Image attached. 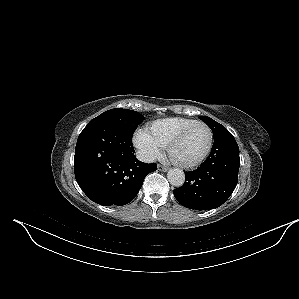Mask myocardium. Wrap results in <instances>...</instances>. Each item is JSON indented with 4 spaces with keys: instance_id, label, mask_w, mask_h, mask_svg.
<instances>
[{
    "instance_id": "myocardium-1",
    "label": "myocardium",
    "mask_w": 299,
    "mask_h": 299,
    "mask_svg": "<svg viewBox=\"0 0 299 299\" xmlns=\"http://www.w3.org/2000/svg\"><path fill=\"white\" fill-rule=\"evenodd\" d=\"M196 126H204L207 130H208V133H209V141H208V145L205 149V151L203 152V154L197 158L196 160L194 161H191V162H181V161H178L177 159H175L172 155V150L173 148L179 144L182 139L186 136V134L191 131L193 128H195ZM213 141H214V136H213V131L212 129L210 128L209 125H207L206 123L204 122H200V121H197L187 127H185L184 129H182L180 132H178L170 141L169 143L167 144V153H168V156L169 158L171 159V161L176 164L177 166L181 167V168H186V169H189V168H194V167H197L199 166L200 164H202L205 159L208 157V155L210 154L211 152V149H212V146H213Z\"/></svg>"
}]
</instances>
